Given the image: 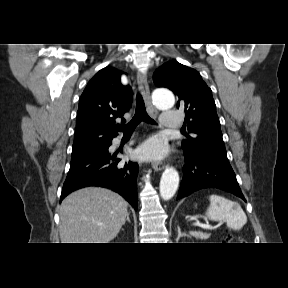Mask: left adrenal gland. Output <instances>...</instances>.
I'll return each mask as SVG.
<instances>
[{
	"label": "left adrenal gland",
	"mask_w": 288,
	"mask_h": 288,
	"mask_svg": "<svg viewBox=\"0 0 288 288\" xmlns=\"http://www.w3.org/2000/svg\"><path fill=\"white\" fill-rule=\"evenodd\" d=\"M177 231H178V237H177V239H180V237H189V238L191 237L190 235H188V234H186V233H182L179 226H177Z\"/></svg>",
	"instance_id": "a2214340"
}]
</instances>
